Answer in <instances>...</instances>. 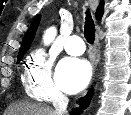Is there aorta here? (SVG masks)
Masks as SVG:
<instances>
[{
	"label": "aorta",
	"mask_w": 131,
	"mask_h": 115,
	"mask_svg": "<svg viewBox=\"0 0 131 115\" xmlns=\"http://www.w3.org/2000/svg\"><path fill=\"white\" fill-rule=\"evenodd\" d=\"M55 36H56V29L50 28L49 30H47V32L44 35V43L48 45L54 40Z\"/></svg>",
	"instance_id": "1"
}]
</instances>
